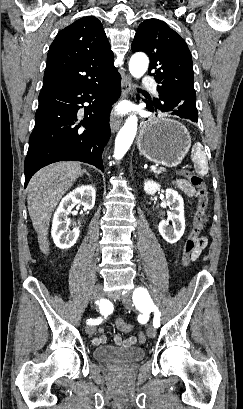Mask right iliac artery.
I'll list each match as a JSON object with an SVG mask.
<instances>
[{"label":"right iliac artery","mask_w":243,"mask_h":409,"mask_svg":"<svg viewBox=\"0 0 243 409\" xmlns=\"http://www.w3.org/2000/svg\"><path fill=\"white\" fill-rule=\"evenodd\" d=\"M99 302L97 301V304ZM102 322V318H97V319H88L87 324H92V325H98Z\"/></svg>","instance_id":"obj_1"}]
</instances>
